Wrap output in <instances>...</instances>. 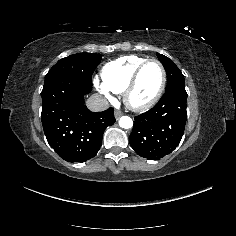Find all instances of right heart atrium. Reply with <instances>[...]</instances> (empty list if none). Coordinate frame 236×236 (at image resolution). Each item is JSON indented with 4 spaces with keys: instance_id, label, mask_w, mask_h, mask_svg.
Here are the masks:
<instances>
[{
    "instance_id": "obj_1",
    "label": "right heart atrium",
    "mask_w": 236,
    "mask_h": 236,
    "mask_svg": "<svg viewBox=\"0 0 236 236\" xmlns=\"http://www.w3.org/2000/svg\"><path fill=\"white\" fill-rule=\"evenodd\" d=\"M93 85L103 96L106 98H111L110 91L105 88L97 76L93 77Z\"/></svg>"
}]
</instances>
